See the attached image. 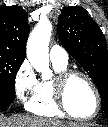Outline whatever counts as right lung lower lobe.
<instances>
[{"label":"right lung lower lobe","instance_id":"1","mask_svg":"<svg viewBox=\"0 0 108 127\" xmlns=\"http://www.w3.org/2000/svg\"><path fill=\"white\" fill-rule=\"evenodd\" d=\"M15 99V95H10L0 92V108L6 107L11 104Z\"/></svg>","mask_w":108,"mask_h":127}]
</instances>
